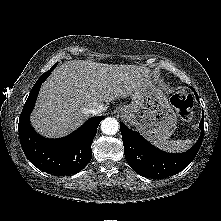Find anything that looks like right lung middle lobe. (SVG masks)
I'll return each instance as SVG.
<instances>
[{
    "instance_id": "right-lung-middle-lobe-1",
    "label": "right lung middle lobe",
    "mask_w": 221,
    "mask_h": 221,
    "mask_svg": "<svg viewBox=\"0 0 221 221\" xmlns=\"http://www.w3.org/2000/svg\"><path fill=\"white\" fill-rule=\"evenodd\" d=\"M57 65V63L47 72H45L46 74L51 73V71L55 68V66Z\"/></svg>"
}]
</instances>
